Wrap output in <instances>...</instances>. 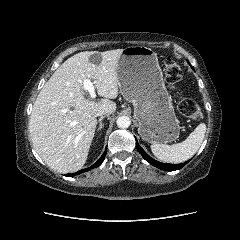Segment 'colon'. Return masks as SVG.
<instances>
[{
  "mask_svg": "<svg viewBox=\"0 0 240 240\" xmlns=\"http://www.w3.org/2000/svg\"><path fill=\"white\" fill-rule=\"evenodd\" d=\"M164 72L166 81L170 87H174L182 78V68L173 58H168L166 60ZM177 108L183 116L191 120H198L202 116V111L199 105L188 98H178Z\"/></svg>",
  "mask_w": 240,
  "mask_h": 240,
  "instance_id": "5ec220e1",
  "label": "colon"
}]
</instances>
